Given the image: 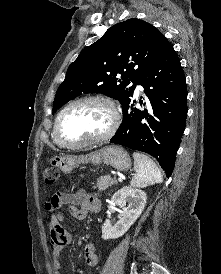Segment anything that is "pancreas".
Returning <instances> with one entry per match:
<instances>
[{
    "label": "pancreas",
    "instance_id": "1",
    "mask_svg": "<svg viewBox=\"0 0 221 274\" xmlns=\"http://www.w3.org/2000/svg\"><path fill=\"white\" fill-rule=\"evenodd\" d=\"M113 184H117L116 178H112L110 175L102 176L97 179L94 189L102 191L107 189L108 187H111Z\"/></svg>",
    "mask_w": 221,
    "mask_h": 274
}]
</instances>
